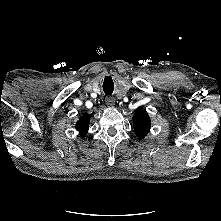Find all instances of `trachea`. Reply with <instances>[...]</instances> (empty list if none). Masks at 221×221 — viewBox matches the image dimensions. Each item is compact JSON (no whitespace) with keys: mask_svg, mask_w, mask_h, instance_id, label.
<instances>
[{"mask_svg":"<svg viewBox=\"0 0 221 221\" xmlns=\"http://www.w3.org/2000/svg\"><path fill=\"white\" fill-rule=\"evenodd\" d=\"M113 90H114V83L111 77H106L103 82V91L105 93V96L111 95Z\"/></svg>","mask_w":221,"mask_h":221,"instance_id":"trachea-1","label":"trachea"}]
</instances>
